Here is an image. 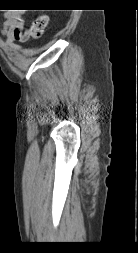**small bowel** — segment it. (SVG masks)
Masks as SVG:
<instances>
[{
    "instance_id": "obj_1",
    "label": "small bowel",
    "mask_w": 138,
    "mask_h": 253,
    "mask_svg": "<svg viewBox=\"0 0 138 253\" xmlns=\"http://www.w3.org/2000/svg\"><path fill=\"white\" fill-rule=\"evenodd\" d=\"M24 16L19 11H8L5 14V22L2 34L5 37L6 44L10 49L20 50L22 45L15 42L24 43L30 38L29 31L24 28Z\"/></svg>"
}]
</instances>
